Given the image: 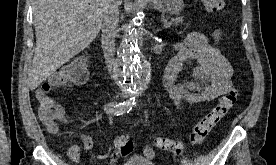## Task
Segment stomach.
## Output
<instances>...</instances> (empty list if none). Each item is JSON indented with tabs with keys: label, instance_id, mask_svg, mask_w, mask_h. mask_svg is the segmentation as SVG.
I'll list each match as a JSON object with an SVG mask.
<instances>
[{
	"label": "stomach",
	"instance_id": "obj_1",
	"mask_svg": "<svg viewBox=\"0 0 276 165\" xmlns=\"http://www.w3.org/2000/svg\"><path fill=\"white\" fill-rule=\"evenodd\" d=\"M157 10L170 14H179L184 7L183 0H150Z\"/></svg>",
	"mask_w": 276,
	"mask_h": 165
}]
</instances>
